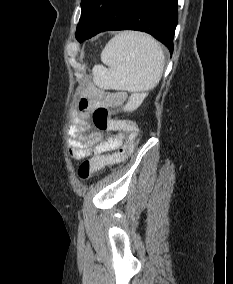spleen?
Instances as JSON below:
<instances>
[{
	"label": "spleen",
	"instance_id": "obj_1",
	"mask_svg": "<svg viewBox=\"0 0 233 284\" xmlns=\"http://www.w3.org/2000/svg\"><path fill=\"white\" fill-rule=\"evenodd\" d=\"M107 66L93 68V81L103 89L144 92L159 83L165 64L160 44L150 35L124 31L114 36L101 53Z\"/></svg>",
	"mask_w": 233,
	"mask_h": 284
}]
</instances>
